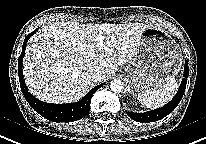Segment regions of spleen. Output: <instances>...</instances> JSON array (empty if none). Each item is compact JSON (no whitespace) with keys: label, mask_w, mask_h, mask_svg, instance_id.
Segmentation results:
<instances>
[{"label":"spleen","mask_w":206,"mask_h":144,"mask_svg":"<svg viewBox=\"0 0 206 144\" xmlns=\"http://www.w3.org/2000/svg\"><path fill=\"white\" fill-rule=\"evenodd\" d=\"M178 88L175 78H170L160 88L146 92L138 97V100L147 108L156 109L168 103Z\"/></svg>","instance_id":"obj_1"}]
</instances>
